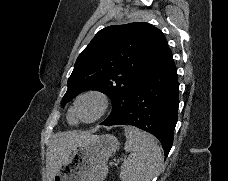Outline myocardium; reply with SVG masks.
<instances>
[{"label":"myocardium","instance_id":"obj_1","mask_svg":"<svg viewBox=\"0 0 228 181\" xmlns=\"http://www.w3.org/2000/svg\"><path fill=\"white\" fill-rule=\"evenodd\" d=\"M83 100H91L94 102L95 109L93 115L89 119H82L85 122H92L97 120L105 111L107 106V98L101 93L89 92L80 96L74 106V112L79 116V105Z\"/></svg>","mask_w":228,"mask_h":181}]
</instances>
